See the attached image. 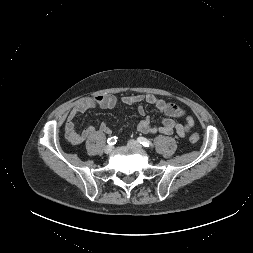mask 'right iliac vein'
<instances>
[{
    "mask_svg": "<svg viewBox=\"0 0 253 253\" xmlns=\"http://www.w3.org/2000/svg\"><path fill=\"white\" fill-rule=\"evenodd\" d=\"M113 149H114L113 146L107 145V146H105V148H104V152H105L106 154H110V153L113 151Z\"/></svg>",
    "mask_w": 253,
    "mask_h": 253,
    "instance_id": "1",
    "label": "right iliac vein"
}]
</instances>
